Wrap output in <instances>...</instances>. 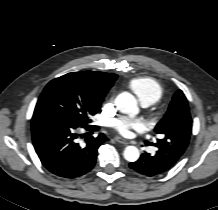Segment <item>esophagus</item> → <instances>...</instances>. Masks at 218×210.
Segmentation results:
<instances>
[{"label":"esophagus","instance_id":"34e87169","mask_svg":"<svg viewBox=\"0 0 218 210\" xmlns=\"http://www.w3.org/2000/svg\"><path fill=\"white\" fill-rule=\"evenodd\" d=\"M114 139H115L118 143H121V144H124V145H127V144L129 143L126 139H124V138H122V137H119V136H116Z\"/></svg>","mask_w":218,"mask_h":210}]
</instances>
